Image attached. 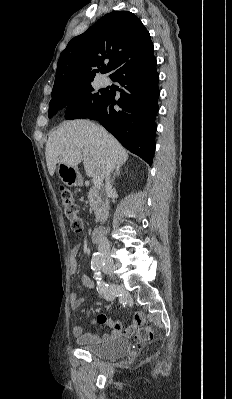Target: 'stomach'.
Returning a JSON list of instances; mask_svg holds the SVG:
<instances>
[{
	"mask_svg": "<svg viewBox=\"0 0 232 399\" xmlns=\"http://www.w3.org/2000/svg\"><path fill=\"white\" fill-rule=\"evenodd\" d=\"M57 174L65 184V186H80L82 182V178L78 172V168H72V166H66V164H58L57 166Z\"/></svg>",
	"mask_w": 232,
	"mask_h": 399,
	"instance_id": "0dacf381",
	"label": "stomach"
}]
</instances>
